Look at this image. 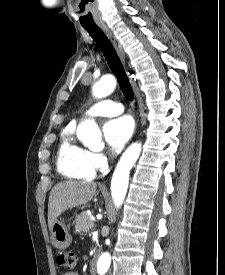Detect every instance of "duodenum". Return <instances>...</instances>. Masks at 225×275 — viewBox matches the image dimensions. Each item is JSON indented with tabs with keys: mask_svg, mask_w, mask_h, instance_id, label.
Segmentation results:
<instances>
[{
	"mask_svg": "<svg viewBox=\"0 0 225 275\" xmlns=\"http://www.w3.org/2000/svg\"><path fill=\"white\" fill-rule=\"evenodd\" d=\"M95 269H96V261L95 259H92L90 263V274L93 275L95 273Z\"/></svg>",
	"mask_w": 225,
	"mask_h": 275,
	"instance_id": "1",
	"label": "duodenum"
}]
</instances>
